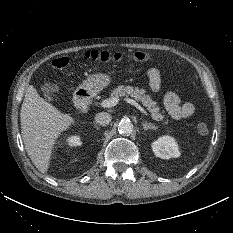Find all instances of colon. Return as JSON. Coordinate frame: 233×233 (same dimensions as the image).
Returning a JSON list of instances; mask_svg holds the SVG:
<instances>
[{
    "label": "colon",
    "instance_id": "obj_1",
    "mask_svg": "<svg viewBox=\"0 0 233 233\" xmlns=\"http://www.w3.org/2000/svg\"><path fill=\"white\" fill-rule=\"evenodd\" d=\"M80 58L93 60L101 63H117L122 60L142 62L149 58L148 53L143 51L134 52L132 55L124 57L120 53H110L106 51L91 50L84 53ZM70 62L68 56H60L52 60L51 65L55 69H63ZM58 92V85L53 81H46L43 87V94L48 99H54ZM197 132L200 136L208 135V126L205 122H199L197 125Z\"/></svg>",
    "mask_w": 233,
    "mask_h": 233
}]
</instances>
